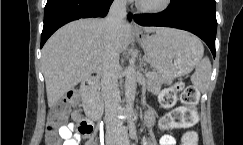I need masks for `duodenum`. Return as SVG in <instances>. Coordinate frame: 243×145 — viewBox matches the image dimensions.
<instances>
[{
    "mask_svg": "<svg viewBox=\"0 0 243 145\" xmlns=\"http://www.w3.org/2000/svg\"><path fill=\"white\" fill-rule=\"evenodd\" d=\"M99 76L100 70L95 69L89 73L82 84L85 113L93 120H99L102 115L103 103L98 91Z\"/></svg>",
    "mask_w": 243,
    "mask_h": 145,
    "instance_id": "1",
    "label": "duodenum"
}]
</instances>
